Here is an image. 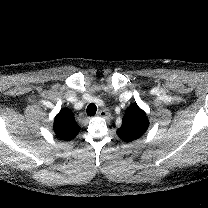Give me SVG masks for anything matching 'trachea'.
Segmentation results:
<instances>
[{
  "instance_id": "1",
  "label": "trachea",
  "mask_w": 208,
  "mask_h": 208,
  "mask_svg": "<svg viewBox=\"0 0 208 208\" xmlns=\"http://www.w3.org/2000/svg\"><path fill=\"white\" fill-rule=\"evenodd\" d=\"M97 107L94 103H91L87 106L86 112L88 116H94L96 114Z\"/></svg>"
}]
</instances>
